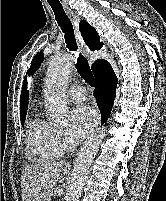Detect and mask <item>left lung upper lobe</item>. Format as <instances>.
I'll use <instances>...</instances> for the list:
<instances>
[{
	"instance_id": "5c2ea615",
	"label": "left lung upper lobe",
	"mask_w": 166,
	"mask_h": 201,
	"mask_svg": "<svg viewBox=\"0 0 166 201\" xmlns=\"http://www.w3.org/2000/svg\"><path fill=\"white\" fill-rule=\"evenodd\" d=\"M43 58H44V55L42 52L35 55V57L33 58L31 62V67L28 70V73H33L40 66V63L42 62Z\"/></svg>"
}]
</instances>
